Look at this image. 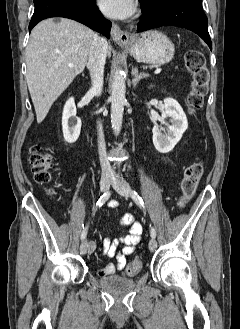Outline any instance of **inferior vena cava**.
Listing matches in <instances>:
<instances>
[{"label":"inferior vena cava","mask_w":240,"mask_h":329,"mask_svg":"<svg viewBox=\"0 0 240 329\" xmlns=\"http://www.w3.org/2000/svg\"><path fill=\"white\" fill-rule=\"evenodd\" d=\"M107 47L108 44L104 38L99 37L98 35H94L88 55L87 67L90 71L91 82H92V87L90 89V92L96 96H99L102 92L103 73H104V66H105V60L107 55ZM97 131H98V152L100 158V165L102 169V175L103 176L112 175L114 171L110 165V162L107 159L103 127L100 121H98Z\"/></svg>","instance_id":"1"}]
</instances>
